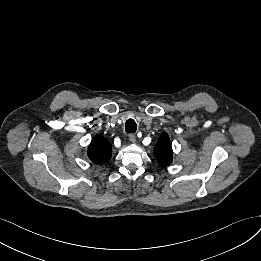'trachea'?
I'll use <instances>...</instances> for the list:
<instances>
[{"label":"trachea","mask_w":261,"mask_h":261,"mask_svg":"<svg viewBox=\"0 0 261 261\" xmlns=\"http://www.w3.org/2000/svg\"><path fill=\"white\" fill-rule=\"evenodd\" d=\"M125 130L128 133H134L137 130L136 122L133 119H128L125 123Z\"/></svg>","instance_id":"1"}]
</instances>
